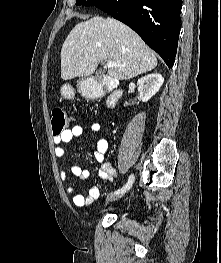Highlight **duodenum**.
Wrapping results in <instances>:
<instances>
[{
  "instance_id": "duodenum-1",
  "label": "duodenum",
  "mask_w": 221,
  "mask_h": 263,
  "mask_svg": "<svg viewBox=\"0 0 221 263\" xmlns=\"http://www.w3.org/2000/svg\"><path fill=\"white\" fill-rule=\"evenodd\" d=\"M104 91H109L110 94L106 100V106L108 109H113L120 98L122 97V90L118 88L117 80L113 78H104L98 84V94Z\"/></svg>"
}]
</instances>
